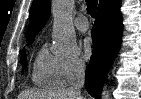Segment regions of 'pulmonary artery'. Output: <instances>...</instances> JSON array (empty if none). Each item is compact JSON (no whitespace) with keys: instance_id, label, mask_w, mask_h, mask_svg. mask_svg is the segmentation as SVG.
I'll return each instance as SVG.
<instances>
[{"instance_id":"obj_1","label":"pulmonary artery","mask_w":141,"mask_h":99,"mask_svg":"<svg viewBox=\"0 0 141 99\" xmlns=\"http://www.w3.org/2000/svg\"><path fill=\"white\" fill-rule=\"evenodd\" d=\"M74 25L75 27L82 32H85L88 30L89 28V23L87 18L84 15H80L78 16L75 20H74Z\"/></svg>"}]
</instances>
